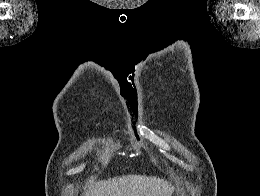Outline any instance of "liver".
<instances>
[{"label":"liver","instance_id":"1","mask_svg":"<svg viewBox=\"0 0 260 196\" xmlns=\"http://www.w3.org/2000/svg\"><path fill=\"white\" fill-rule=\"evenodd\" d=\"M174 186L155 176H122L91 182L85 196H172Z\"/></svg>","mask_w":260,"mask_h":196}]
</instances>
